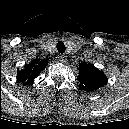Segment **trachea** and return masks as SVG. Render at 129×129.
Here are the masks:
<instances>
[{
  "label": "trachea",
  "instance_id": "trachea-1",
  "mask_svg": "<svg viewBox=\"0 0 129 129\" xmlns=\"http://www.w3.org/2000/svg\"><path fill=\"white\" fill-rule=\"evenodd\" d=\"M56 47H57L58 52L62 54L66 50L65 44L63 42H58Z\"/></svg>",
  "mask_w": 129,
  "mask_h": 129
}]
</instances>
